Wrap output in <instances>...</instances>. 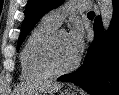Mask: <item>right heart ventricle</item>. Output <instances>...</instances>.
<instances>
[{
  "mask_svg": "<svg viewBox=\"0 0 119 95\" xmlns=\"http://www.w3.org/2000/svg\"><path fill=\"white\" fill-rule=\"evenodd\" d=\"M58 25L44 17L31 31L21 54V74L25 80H45L51 77L42 61V50L47 38Z\"/></svg>",
  "mask_w": 119,
  "mask_h": 95,
  "instance_id": "1",
  "label": "right heart ventricle"
}]
</instances>
